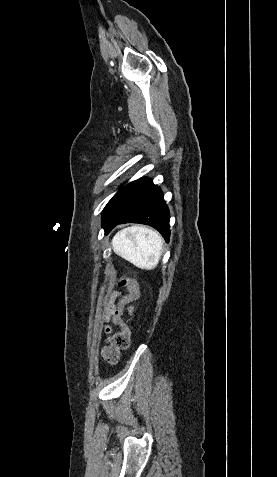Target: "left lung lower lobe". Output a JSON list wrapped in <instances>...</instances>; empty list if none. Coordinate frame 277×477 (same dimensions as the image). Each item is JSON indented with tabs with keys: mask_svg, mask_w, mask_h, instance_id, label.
I'll list each match as a JSON object with an SVG mask.
<instances>
[{
	"mask_svg": "<svg viewBox=\"0 0 277 477\" xmlns=\"http://www.w3.org/2000/svg\"><path fill=\"white\" fill-rule=\"evenodd\" d=\"M169 210L161 189L149 178H140L122 187L102 212V227L108 234L121 223H141L157 229L169 242Z\"/></svg>",
	"mask_w": 277,
	"mask_h": 477,
	"instance_id": "left-lung-lower-lobe-1",
	"label": "left lung lower lobe"
}]
</instances>
